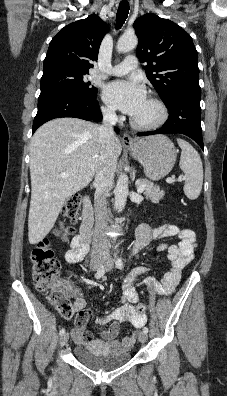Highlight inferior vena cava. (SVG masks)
<instances>
[{"label": "inferior vena cava", "instance_id": "obj_1", "mask_svg": "<svg viewBox=\"0 0 227 396\" xmlns=\"http://www.w3.org/2000/svg\"><path fill=\"white\" fill-rule=\"evenodd\" d=\"M103 123L98 127L101 153L99 167L96 171L94 185L95 229L92 243V255L109 254L108 239L105 235L107 229V196L112 188L117 160L113 155L111 141L115 137L113 125L117 122L114 109H102Z\"/></svg>", "mask_w": 227, "mask_h": 396}]
</instances>
